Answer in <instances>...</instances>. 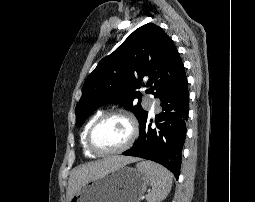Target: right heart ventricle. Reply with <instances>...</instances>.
Returning a JSON list of instances; mask_svg holds the SVG:
<instances>
[{"mask_svg":"<svg viewBox=\"0 0 255 202\" xmlns=\"http://www.w3.org/2000/svg\"><path fill=\"white\" fill-rule=\"evenodd\" d=\"M100 116V112L96 113L95 115H93L89 121L86 123V125L84 126L83 128V131L81 133V144H82V149L85 153L86 156H89V157H95V155L88 149L87 147V144H86V135H87V132L91 126V124L94 122V120Z\"/></svg>","mask_w":255,"mask_h":202,"instance_id":"obj_1","label":"right heart ventricle"}]
</instances>
